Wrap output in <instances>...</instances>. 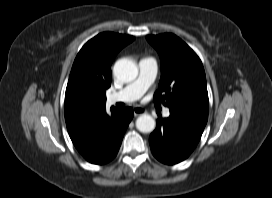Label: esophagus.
I'll return each instance as SVG.
<instances>
[{"mask_svg": "<svg viewBox=\"0 0 272 198\" xmlns=\"http://www.w3.org/2000/svg\"><path fill=\"white\" fill-rule=\"evenodd\" d=\"M133 111H134V115H135V116L142 115V114H144V113L146 112L144 108L139 107V106H135V107L133 108Z\"/></svg>", "mask_w": 272, "mask_h": 198, "instance_id": "esophagus-1", "label": "esophagus"}]
</instances>
